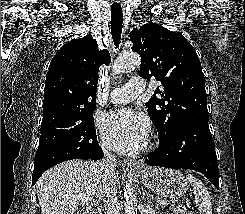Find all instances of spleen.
<instances>
[{
    "label": "spleen",
    "mask_w": 245,
    "mask_h": 214,
    "mask_svg": "<svg viewBox=\"0 0 245 214\" xmlns=\"http://www.w3.org/2000/svg\"><path fill=\"white\" fill-rule=\"evenodd\" d=\"M187 180L193 187L195 203L200 214H212V203L209 192L203 183L191 174L187 175Z\"/></svg>",
    "instance_id": "obj_1"
}]
</instances>
